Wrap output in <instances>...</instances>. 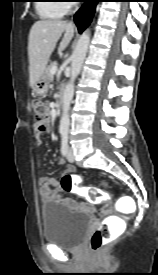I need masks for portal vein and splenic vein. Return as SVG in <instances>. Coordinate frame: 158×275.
<instances>
[{"instance_id": "1", "label": "portal vein and splenic vein", "mask_w": 158, "mask_h": 275, "mask_svg": "<svg viewBox=\"0 0 158 275\" xmlns=\"http://www.w3.org/2000/svg\"><path fill=\"white\" fill-rule=\"evenodd\" d=\"M57 71V67L56 66H53L52 69H51V74H55Z\"/></svg>"}]
</instances>
